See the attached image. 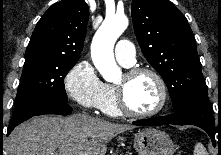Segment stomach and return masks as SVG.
<instances>
[{
	"label": "stomach",
	"mask_w": 221,
	"mask_h": 155,
	"mask_svg": "<svg viewBox=\"0 0 221 155\" xmlns=\"http://www.w3.org/2000/svg\"><path fill=\"white\" fill-rule=\"evenodd\" d=\"M134 148L138 155H173L175 151L171 138L155 128H144L134 136Z\"/></svg>",
	"instance_id": "0dacf381"
}]
</instances>
